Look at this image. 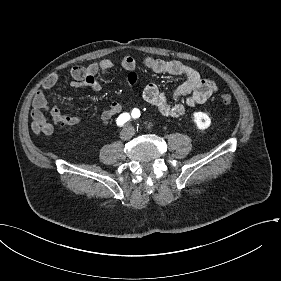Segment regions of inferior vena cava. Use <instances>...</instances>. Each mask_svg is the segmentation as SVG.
<instances>
[{"instance_id":"1","label":"inferior vena cava","mask_w":281,"mask_h":281,"mask_svg":"<svg viewBox=\"0 0 281 281\" xmlns=\"http://www.w3.org/2000/svg\"><path fill=\"white\" fill-rule=\"evenodd\" d=\"M125 132L130 131V134L128 135V137H132L134 135V128L133 127H129L124 129Z\"/></svg>"}]
</instances>
